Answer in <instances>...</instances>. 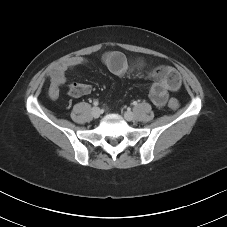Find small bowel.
<instances>
[{
  "label": "small bowel",
  "instance_id": "1",
  "mask_svg": "<svg viewBox=\"0 0 227 227\" xmlns=\"http://www.w3.org/2000/svg\"><path fill=\"white\" fill-rule=\"evenodd\" d=\"M102 60L107 69L116 76H124L131 71H140L145 67L144 60L137 59L130 61L123 53L118 51L105 53ZM85 63L86 60L83 57L75 56L54 67L49 73L50 96L56 98L59 95V88L63 85H66L67 93L71 97L77 98L89 94L92 91L91 85L86 83L66 82V72L75 67L82 66ZM150 76L154 78V82L149 88V98L155 106L161 108L166 104L168 92L177 89L178 86L167 85L158 79L157 69L151 70Z\"/></svg>",
  "mask_w": 227,
  "mask_h": 227
}]
</instances>
